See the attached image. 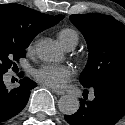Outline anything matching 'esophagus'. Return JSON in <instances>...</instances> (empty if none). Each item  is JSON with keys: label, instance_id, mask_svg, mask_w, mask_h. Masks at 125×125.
<instances>
[{"label": "esophagus", "instance_id": "1", "mask_svg": "<svg viewBox=\"0 0 125 125\" xmlns=\"http://www.w3.org/2000/svg\"><path fill=\"white\" fill-rule=\"evenodd\" d=\"M52 91H53L55 94L59 95V96H61V95H64V94H65V92H64V91H62V90H58V89H52Z\"/></svg>", "mask_w": 125, "mask_h": 125}]
</instances>
